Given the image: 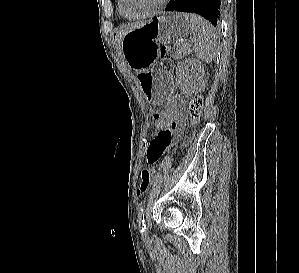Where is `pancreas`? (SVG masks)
I'll return each instance as SVG.
<instances>
[{"label": "pancreas", "instance_id": "cf45deb5", "mask_svg": "<svg viewBox=\"0 0 299 273\" xmlns=\"http://www.w3.org/2000/svg\"><path fill=\"white\" fill-rule=\"evenodd\" d=\"M191 49L187 45H181V46H173L172 47V55L176 58H183L184 56L188 55L190 53Z\"/></svg>", "mask_w": 299, "mask_h": 273}]
</instances>
